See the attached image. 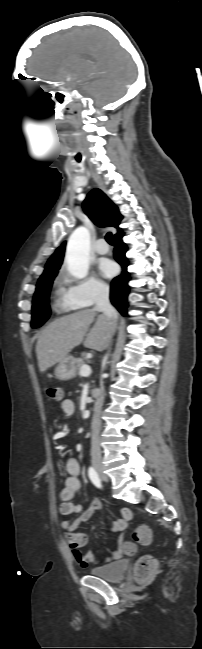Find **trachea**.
Listing matches in <instances>:
<instances>
[{
  "label": "trachea",
  "mask_w": 202,
  "mask_h": 649,
  "mask_svg": "<svg viewBox=\"0 0 202 649\" xmlns=\"http://www.w3.org/2000/svg\"><path fill=\"white\" fill-rule=\"evenodd\" d=\"M106 241L112 245L113 244V238H112V233L108 232L105 237Z\"/></svg>",
  "instance_id": "1"
}]
</instances>
